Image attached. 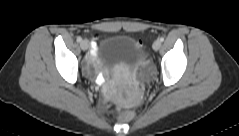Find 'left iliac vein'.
Segmentation results:
<instances>
[{
  "label": "left iliac vein",
  "instance_id": "1",
  "mask_svg": "<svg viewBox=\"0 0 239 136\" xmlns=\"http://www.w3.org/2000/svg\"><path fill=\"white\" fill-rule=\"evenodd\" d=\"M160 47H161V42L159 40H157L153 43V49L155 51H158L160 49Z\"/></svg>",
  "mask_w": 239,
  "mask_h": 136
}]
</instances>
